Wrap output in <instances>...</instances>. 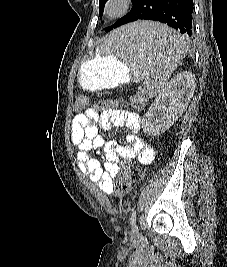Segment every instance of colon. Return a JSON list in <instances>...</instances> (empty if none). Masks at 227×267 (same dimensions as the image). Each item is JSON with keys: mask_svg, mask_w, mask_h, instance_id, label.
I'll use <instances>...</instances> for the list:
<instances>
[{"mask_svg": "<svg viewBox=\"0 0 227 267\" xmlns=\"http://www.w3.org/2000/svg\"><path fill=\"white\" fill-rule=\"evenodd\" d=\"M95 105H99L101 109H126L134 108V105H126L125 100H95ZM88 105L86 97H79L76 100L75 108L78 112ZM135 108H141V105H135ZM116 179L115 191L117 194H126L134 192V187H131V178L129 176V169H120V173H114Z\"/></svg>", "mask_w": 227, "mask_h": 267, "instance_id": "obj_1", "label": "colon"}]
</instances>
